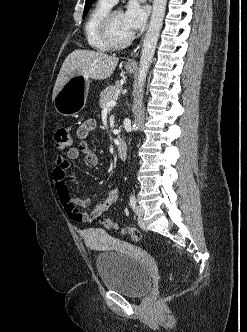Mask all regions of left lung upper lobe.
<instances>
[{
  "label": "left lung upper lobe",
  "instance_id": "left-lung-upper-lobe-1",
  "mask_svg": "<svg viewBox=\"0 0 247 332\" xmlns=\"http://www.w3.org/2000/svg\"><path fill=\"white\" fill-rule=\"evenodd\" d=\"M94 1H95V0H86V2H85V7H84L83 18L86 16L87 11L89 10L91 4H92Z\"/></svg>",
  "mask_w": 247,
  "mask_h": 332
}]
</instances>
